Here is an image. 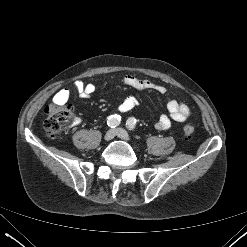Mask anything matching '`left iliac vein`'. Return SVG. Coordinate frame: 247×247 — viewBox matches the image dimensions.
I'll list each match as a JSON object with an SVG mask.
<instances>
[{"mask_svg":"<svg viewBox=\"0 0 247 247\" xmlns=\"http://www.w3.org/2000/svg\"><path fill=\"white\" fill-rule=\"evenodd\" d=\"M115 132H116V135L119 138H121V139H123L125 141H130V137H129L128 133L124 129L119 128V129H116Z\"/></svg>","mask_w":247,"mask_h":247,"instance_id":"obj_1","label":"left iliac vein"}]
</instances>
